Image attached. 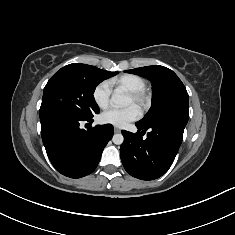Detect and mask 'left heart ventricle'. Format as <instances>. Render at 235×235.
Wrapping results in <instances>:
<instances>
[{
    "instance_id": "obj_1",
    "label": "left heart ventricle",
    "mask_w": 235,
    "mask_h": 235,
    "mask_svg": "<svg viewBox=\"0 0 235 235\" xmlns=\"http://www.w3.org/2000/svg\"><path fill=\"white\" fill-rule=\"evenodd\" d=\"M127 104H129V105L134 104V101H133V99L130 96L128 97Z\"/></svg>"
}]
</instances>
